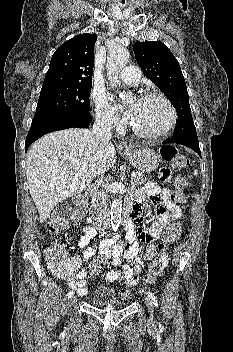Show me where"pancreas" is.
Wrapping results in <instances>:
<instances>
[{"label": "pancreas", "instance_id": "1", "mask_svg": "<svg viewBox=\"0 0 233 352\" xmlns=\"http://www.w3.org/2000/svg\"><path fill=\"white\" fill-rule=\"evenodd\" d=\"M147 181V177L143 175H137L135 178L132 179V183L134 185H141Z\"/></svg>", "mask_w": 233, "mask_h": 352}]
</instances>
